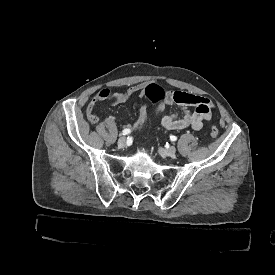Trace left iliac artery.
I'll return each mask as SVG.
<instances>
[{
	"mask_svg": "<svg viewBox=\"0 0 275 275\" xmlns=\"http://www.w3.org/2000/svg\"><path fill=\"white\" fill-rule=\"evenodd\" d=\"M170 140H171V141H176V140H177V137H176V136L171 135V136H170Z\"/></svg>",
	"mask_w": 275,
	"mask_h": 275,
	"instance_id": "obj_1",
	"label": "left iliac artery"
}]
</instances>
